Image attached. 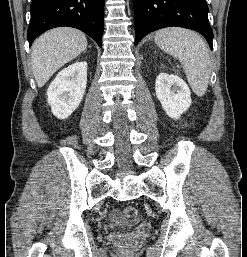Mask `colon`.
Instances as JSON below:
<instances>
[{
  "mask_svg": "<svg viewBox=\"0 0 247 257\" xmlns=\"http://www.w3.org/2000/svg\"><path fill=\"white\" fill-rule=\"evenodd\" d=\"M124 215L129 220H134L137 216V209L134 206H127L124 209Z\"/></svg>",
  "mask_w": 247,
  "mask_h": 257,
  "instance_id": "colon-1",
  "label": "colon"
}]
</instances>
